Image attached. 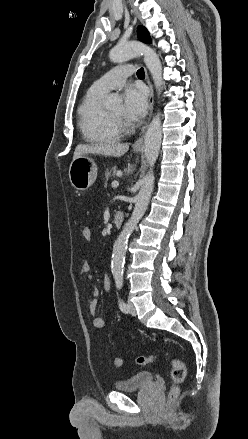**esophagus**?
I'll return each mask as SVG.
<instances>
[{"label":"esophagus","mask_w":248,"mask_h":439,"mask_svg":"<svg viewBox=\"0 0 248 439\" xmlns=\"http://www.w3.org/2000/svg\"><path fill=\"white\" fill-rule=\"evenodd\" d=\"M146 80H147V84L149 87V119L152 115V111H153V105H154V91H153V87L152 84L149 80V77L146 73ZM148 122L143 126L142 130H141V134L139 136V138L134 142L133 147L134 149H142L143 148V137H144V132L147 128Z\"/></svg>","instance_id":"34e87169"}]
</instances>
